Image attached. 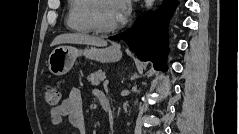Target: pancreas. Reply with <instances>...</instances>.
Masks as SVG:
<instances>
[{"label": "pancreas", "instance_id": "1", "mask_svg": "<svg viewBox=\"0 0 239 134\" xmlns=\"http://www.w3.org/2000/svg\"><path fill=\"white\" fill-rule=\"evenodd\" d=\"M87 79L89 82H91L92 85L97 86L101 81L105 79V72H103L102 70H98L88 76Z\"/></svg>", "mask_w": 239, "mask_h": 134}]
</instances>
